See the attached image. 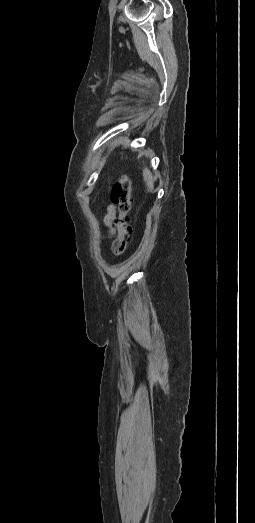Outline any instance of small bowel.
<instances>
[{"mask_svg":"<svg viewBox=\"0 0 255 523\" xmlns=\"http://www.w3.org/2000/svg\"><path fill=\"white\" fill-rule=\"evenodd\" d=\"M114 217H115V207L113 205H109L107 207V212L104 216L103 221H104V224L108 227L110 234L114 233V228L112 225Z\"/></svg>","mask_w":255,"mask_h":523,"instance_id":"1","label":"small bowel"}]
</instances>
